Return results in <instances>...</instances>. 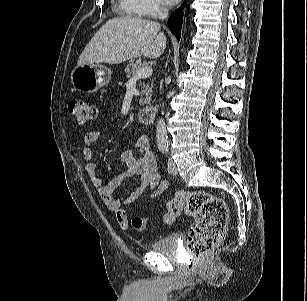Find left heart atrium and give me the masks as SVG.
<instances>
[{"label":"left heart atrium","instance_id":"1","mask_svg":"<svg viewBox=\"0 0 307 301\" xmlns=\"http://www.w3.org/2000/svg\"><path fill=\"white\" fill-rule=\"evenodd\" d=\"M167 5H175L179 0H163Z\"/></svg>","mask_w":307,"mask_h":301}]
</instances>
